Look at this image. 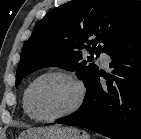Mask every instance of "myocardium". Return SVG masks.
Segmentation results:
<instances>
[{
	"instance_id": "f54148a6",
	"label": "myocardium",
	"mask_w": 141,
	"mask_h": 139,
	"mask_svg": "<svg viewBox=\"0 0 141 139\" xmlns=\"http://www.w3.org/2000/svg\"><path fill=\"white\" fill-rule=\"evenodd\" d=\"M51 76H59V77H63V78L70 80L76 87L77 96H76L74 103L65 111H63L57 115L51 116V117H40V116L36 115L32 110L31 100H30L31 92H32L34 86L40 80L47 78V77H51ZM86 94H87L86 86H85L84 82L81 80V78L78 77L76 74L69 72V71H65V70H50V71L44 72V73L40 74L39 76H37L27 87V89L25 91V98H24L25 108H26L28 115L32 119H34L38 122H44V123L53 122V121L59 120L61 118L67 117L69 115H72L73 113L78 111L85 101Z\"/></svg>"
}]
</instances>
